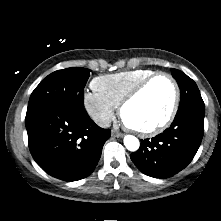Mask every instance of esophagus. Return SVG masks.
Returning <instances> with one entry per match:
<instances>
[{"instance_id": "34e87169", "label": "esophagus", "mask_w": 221, "mask_h": 221, "mask_svg": "<svg viewBox=\"0 0 221 221\" xmlns=\"http://www.w3.org/2000/svg\"><path fill=\"white\" fill-rule=\"evenodd\" d=\"M112 136H114V137H122L123 134L120 133V132H117L116 130H112Z\"/></svg>"}]
</instances>
